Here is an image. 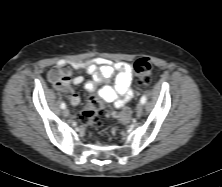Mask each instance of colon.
<instances>
[{
  "instance_id": "5ec220e1",
  "label": "colon",
  "mask_w": 222,
  "mask_h": 187,
  "mask_svg": "<svg viewBox=\"0 0 222 187\" xmlns=\"http://www.w3.org/2000/svg\"><path fill=\"white\" fill-rule=\"evenodd\" d=\"M152 65L147 58H140L134 63V74L139 85L146 86L150 83ZM103 103L101 99L92 96L79 116L81 123L85 125H96L103 115Z\"/></svg>"
}]
</instances>
